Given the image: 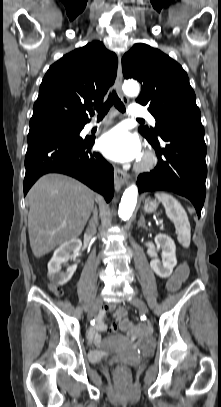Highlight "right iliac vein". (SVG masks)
<instances>
[{
  "instance_id": "63e3f726",
  "label": "right iliac vein",
  "mask_w": 221,
  "mask_h": 407,
  "mask_svg": "<svg viewBox=\"0 0 221 407\" xmlns=\"http://www.w3.org/2000/svg\"><path fill=\"white\" fill-rule=\"evenodd\" d=\"M102 297L101 296H98L95 300H94V302H93V304H92V306H91V309H90V311H89V313H88V317L89 318H92L95 314H96V312L98 311V309L101 307V305H102Z\"/></svg>"
}]
</instances>
